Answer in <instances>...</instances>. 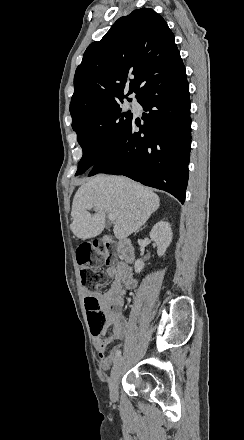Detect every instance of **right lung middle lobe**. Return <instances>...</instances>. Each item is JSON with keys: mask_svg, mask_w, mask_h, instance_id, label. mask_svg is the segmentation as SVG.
<instances>
[{"mask_svg": "<svg viewBox=\"0 0 244 440\" xmlns=\"http://www.w3.org/2000/svg\"><path fill=\"white\" fill-rule=\"evenodd\" d=\"M131 101L130 98L127 99ZM120 99H107L92 105L70 110L72 128L77 133L83 156L75 175L91 168L105 154L132 121L130 111L122 112Z\"/></svg>", "mask_w": 244, "mask_h": 440, "instance_id": "right-lung-middle-lobe-1", "label": "right lung middle lobe"}]
</instances>
